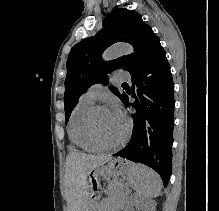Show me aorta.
I'll return each mask as SVG.
<instances>
[{
    "label": "aorta",
    "mask_w": 219,
    "mask_h": 211,
    "mask_svg": "<svg viewBox=\"0 0 219 211\" xmlns=\"http://www.w3.org/2000/svg\"><path fill=\"white\" fill-rule=\"evenodd\" d=\"M133 52V47L128 44H117L107 49L103 54L104 60H111L121 55H127Z\"/></svg>",
    "instance_id": "762f6f07"
}]
</instances>
